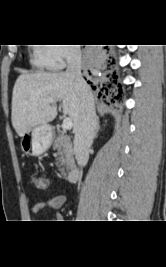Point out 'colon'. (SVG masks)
<instances>
[{
	"mask_svg": "<svg viewBox=\"0 0 166 267\" xmlns=\"http://www.w3.org/2000/svg\"><path fill=\"white\" fill-rule=\"evenodd\" d=\"M27 180H32L34 183V188L46 189L49 185V182L44 177H37V175H27Z\"/></svg>",
	"mask_w": 166,
	"mask_h": 267,
	"instance_id": "colon-1",
	"label": "colon"
}]
</instances>
